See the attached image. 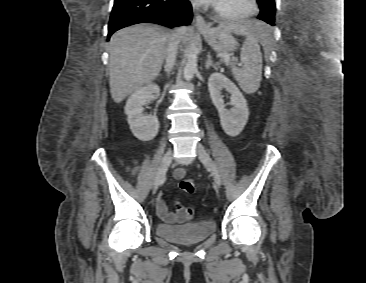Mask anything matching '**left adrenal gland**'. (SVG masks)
<instances>
[{"label":"left adrenal gland","instance_id":"a2214340","mask_svg":"<svg viewBox=\"0 0 366 283\" xmlns=\"http://www.w3.org/2000/svg\"><path fill=\"white\" fill-rule=\"evenodd\" d=\"M210 67H213L214 69H216V66L213 64L212 60H211V55L210 53L208 54V59L206 61V65L205 68L209 69Z\"/></svg>","mask_w":366,"mask_h":283}]
</instances>
